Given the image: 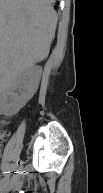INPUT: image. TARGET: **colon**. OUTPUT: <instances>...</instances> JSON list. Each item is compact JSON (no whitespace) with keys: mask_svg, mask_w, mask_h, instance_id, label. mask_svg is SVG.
Returning <instances> with one entry per match:
<instances>
[{"mask_svg":"<svg viewBox=\"0 0 103 193\" xmlns=\"http://www.w3.org/2000/svg\"><path fill=\"white\" fill-rule=\"evenodd\" d=\"M5 133V131L2 132L1 136L3 137V134ZM6 137V136H5Z\"/></svg>","mask_w":103,"mask_h":193,"instance_id":"obj_1","label":"colon"}]
</instances>
